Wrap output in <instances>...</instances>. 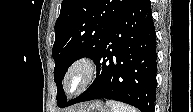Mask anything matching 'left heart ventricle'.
<instances>
[{
	"label": "left heart ventricle",
	"mask_w": 193,
	"mask_h": 112,
	"mask_svg": "<svg viewBox=\"0 0 193 112\" xmlns=\"http://www.w3.org/2000/svg\"><path fill=\"white\" fill-rule=\"evenodd\" d=\"M81 81L82 75L80 73L75 74L69 82L70 91H75L80 86Z\"/></svg>",
	"instance_id": "left-heart-ventricle-1"
}]
</instances>
